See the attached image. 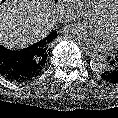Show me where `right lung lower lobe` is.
Instances as JSON below:
<instances>
[{"instance_id": "obj_1", "label": "right lung lower lobe", "mask_w": 118, "mask_h": 118, "mask_svg": "<svg viewBox=\"0 0 118 118\" xmlns=\"http://www.w3.org/2000/svg\"><path fill=\"white\" fill-rule=\"evenodd\" d=\"M36 56L28 48L14 51L0 45V74L15 82H24L37 76Z\"/></svg>"}]
</instances>
